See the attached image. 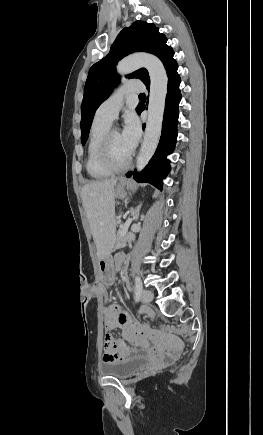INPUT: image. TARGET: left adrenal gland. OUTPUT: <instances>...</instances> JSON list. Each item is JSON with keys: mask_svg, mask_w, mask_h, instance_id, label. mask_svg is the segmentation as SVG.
Returning a JSON list of instances; mask_svg holds the SVG:
<instances>
[{"mask_svg": "<svg viewBox=\"0 0 263 435\" xmlns=\"http://www.w3.org/2000/svg\"><path fill=\"white\" fill-rule=\"evenodd\" d=\"M141 205L142 203L139 206H137L135 209L131 208V215L133 216V221H136L138 219Z\"/></svg>", "mask_w": 263, "mask_h": 435, "instance_id": "left-adrenal-gland-1", "label": "left adrenal gland"}]
</instances>
